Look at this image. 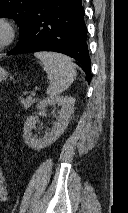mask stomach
Returning a JSON list of instances; mask_svg holds the SVG:
<instances>
[{
	"label": "stomach",
	"instance_id": "obj_1",
	"mask_svg": "<svg viewBox=\"0 0 128 213\" xmlns=\"http://www.w3.org/2000/svg\"><path fill=\"white\" fill-rule=\"evenodd\" d=\"M8 75V72L3 67H0V82L7 79Z\"/></svg>",
	"mask_w": 128,
	"mask_h": 213
}]
</instances>
